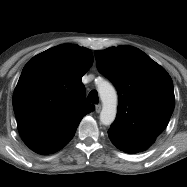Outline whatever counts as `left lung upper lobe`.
<instances>
[{
	"instance_id": "1",
	"label": "left lung upper lobe",
	"mask_w": 187,
	"mask_h": 187,
	"mask_svg": "<svg viewBox=\"0 0 187 187\" xmlns=\"http://www.w3.org/2000/svg\"><path fill=\"white\" fill-rule=\"evenodd\" d=\"M98 70L116 87L118 111L108 132L135 135L130 142L154 143L175 106L173 82L163 67L131 46L94 52Z\"/></svg>"
}]
</instances>
